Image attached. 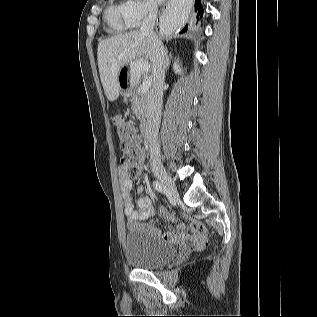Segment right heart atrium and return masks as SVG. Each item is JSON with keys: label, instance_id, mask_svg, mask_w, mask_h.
I'll return each instance as SVG.
<instances>
[{"label": "right heart atrium", "instance_id": "d8ad5b80", "mask_svg": "<svg viewBox=\"0 0 317 317\" xmlns=\"http://www.w3.org/2000/svg\"><path fill=\"white\" fill-rule=\"evenodd\" d=\"M126 16L132 27L139 26L144 20L152 17L156 8L147 0H126L124 2Z\"/></svg>", "mask_w": 317, "mask_h": 317}]
</instances>
